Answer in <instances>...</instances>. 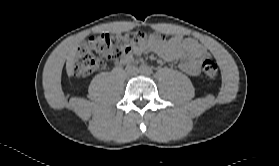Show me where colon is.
Wrapping results in <instances>:
<instances>
[{"label": "colon", "mask_w": 279, "mask_h": 166, "mask_svg": "<svg viewBox=\"0 0 279 166\" xmlns=\"http://www.w3.org/2000/svg\"><path fill=\"white\" fill-rule=\"evenodd\" d=\"M150 39L165 42V38L159 34H147L144 31L131 33H102L89 38L81 45L72 64V72L76 77H87L100 70L104 61H120L126 57L132 49ZM203 74L207 78H215L218 74L217 62L211 58H205L201 62Z\"/></svg>", "instance_id": "colon-1"}]
</instances>
